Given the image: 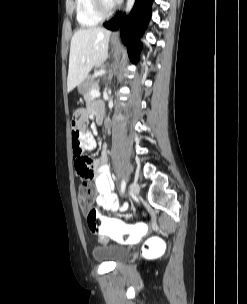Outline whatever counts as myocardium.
Listing matches in <instances>:
<instances>
[{"label":"myocardium","mask_w":247,"mask_h":304,"mask_svg":"<svg viewBox=\"0 0 247 304\" xmlns=\"http://www.w3.org/2000/svg\"><path fill=\"white\" fill-rule=\"evenodd\" d=\"M92 7L95 15L100 19H106L113 15L116 11L117 4H113L112 7L107 8L104 5L103 0H92Z\"/></svg>","instance_id":"f54148a6"}]
</instances>
